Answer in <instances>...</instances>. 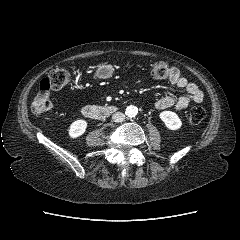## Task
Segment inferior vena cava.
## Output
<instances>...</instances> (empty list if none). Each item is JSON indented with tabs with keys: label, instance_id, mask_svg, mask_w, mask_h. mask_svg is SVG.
Masks as SVG:
<instances>
[{
	"label": "inferior vena cava",
	"instance_id": "1",
	"mask_svg": "<svg viewBox=\"0 0 240 240\" xmlns=\"http://www.w3.org/2000/svg\"><path fill=\"white\" fill-rule=\"evenodd\" d=\"M112 120L117 123L123 122L125 120V114L122 112H116L112 115Z\"/></svg>",
	"mask_w": 240,
	"mask_h": 240
}]
</instances>
